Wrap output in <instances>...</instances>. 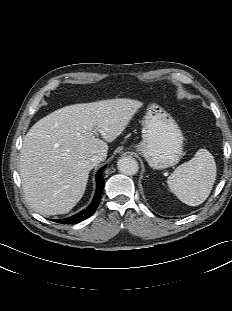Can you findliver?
Instances as JSON below:
<instances>
[{
    "label": "liver",
    "mask_w": 232,
    "mask_h": 311,
    "mask_svg": "<svg viewBox=\"0 0 232 311\" xmlns=\"http://www.w3.org/2000/svg\"><path fill=\"white\" fill-rule=\"evenodd\" d=\"M142 107L117 98L65 106L36 122L23 139L20 176L25 199L41 215L68 213L82 198L93 155L107 157L115 140ZM100 134L105 140L96 138Z\"/></svg>",
    "instance_id": "obj_1"
}]
</instances>
